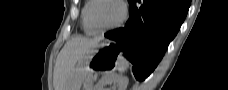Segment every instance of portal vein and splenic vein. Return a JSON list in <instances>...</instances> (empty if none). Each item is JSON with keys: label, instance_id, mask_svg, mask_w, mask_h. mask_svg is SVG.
Here are the masks:
<instances>
[{"label": "portal vein and splenic vein", "instance_id": "portal-vein-and-splenic-vein-1", "mask_svg": "<svg viewBox=\"0 0 228 90\" xmlns=\"http://www.w3.org/2000/svg\"><path fill=\"white\" fill-rule=\"evenodd\" d=\"M94 80H97V76H94Z\"/></svg>", "mask_w": 228, "mask_h": 90}]
</instances>
